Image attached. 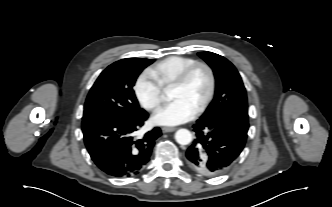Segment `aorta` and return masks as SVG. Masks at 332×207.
<instances>
[{
	"mask_svg": "<svg viewBox=\"0 0 332 207\" xmlns=\"http://www.w3.org/2000/svg\"><path fill=\"white\" fill-rule=\"evenodd\" d=\"M175 140L177 143L180 145H188L192 141V134L189 130L187 129H179L175 133Z\"/></svg>",
	"mask_w": 332,
	"mask_h": 207,
	"instance_id": "obj_1",
	"label": "aorta"
}]
</instances>
